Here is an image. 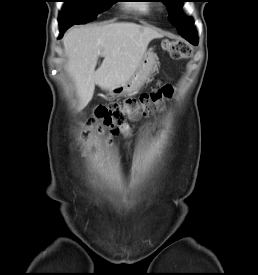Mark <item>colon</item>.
<instances>
[{
	"instance_id": "colon-1",
	"label": "colon",
	"mask_w": 258,
	"mask_h": 275,
	"mask_svg": "<svg viewBox=\"0 0 258 275\" xmlns=\"http://www.w3.org/2000/svg\"><path fill=\"white\" fill-rule=\"evenodd\" d=\"M162 48L174 59H187L192 55V48L186 42L176 39H164ZM170 88H162L141 94L137 98H128L120 103H112L99 106L94 118L89 120V125L99 130L109 128L112 134L118 128H127V120H137L151 115L155 110L162 107L164 100L169 96Z\"/></svg>"
}]
</instances>
